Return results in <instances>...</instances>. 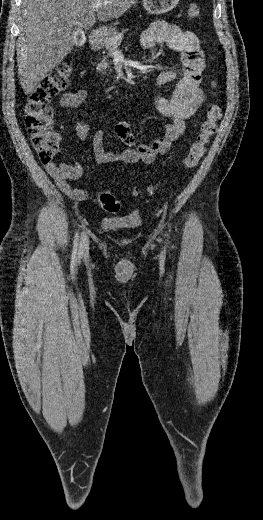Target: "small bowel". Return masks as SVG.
Wrapping results in <instances>:
<instances>
[{
	"label": "small bowel",
	"instance_id": "small-bowel-1",
	"mask_svg": "<svg viewBox=\"0 0 263 520\" xmlns=\"http://www.w3.org/2000/svg\"><path fill=\"white\" fill-rule=\"evenodd\" d=\"M142 48L151 50L158 46H167L181 54L182 76L168 95L158 92L155 97L156 109L170 123L164 134L149 144H139L128 121L118 122L114 127L117 138L126 146L121 152H110L105 148V133L97 131L93 136L92 146L96 161L100 164L143 162L149 164L159 155L166 153L172 143L179 139L186 128V120L192 117L204 102V92L200 86L205 68L204 52L198 38L190 31L164 21H156L141 36ZM177 70L162 71L156 80L158 89L177 78ZM87 98V91L80 89L66 92L60 98V105L73 109L82 105ZM76 137L83 141L89 132L88 125L77 119ZM45 169L59 189L74 201H84L88 193L80 187H73L72 181L83 173L82 165L77 161L45 163Z\"/></svg>",
	"mask_w": 263,
	"mask_h": 520
}]
</instances>
